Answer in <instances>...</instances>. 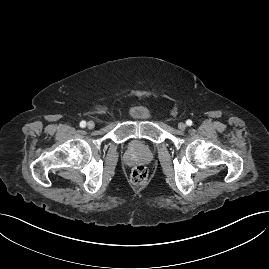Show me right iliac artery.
Masks as SVG:
<instances>
[{
	"label": "right iliac artery",
	"instance_id": "1",
	"mask_svg": "<svg viewBox=\"0 0 269 269\" xmlns=\"http://www.w3.org/2000/svg\"><path fill=\"white\" fill-rule=\"evenodd\" d=\"M86 126V121H81L80 122V127L84 128Z\"/></svg>",
	"mask_w": 269,
	"mask_h": 269
}]
</instances>
